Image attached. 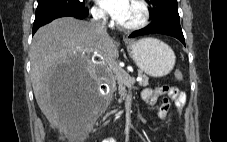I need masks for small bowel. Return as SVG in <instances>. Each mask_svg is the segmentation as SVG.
Instances as JSON below:
<instances>
[{
    "label": "small bowel",
    "instance_id": "small-bowel-1",
    "mask_svg": "<svg viewBox=\"0 0 227 142\" xmlns=\"http://www.w3.org/2000/svg\"><path fill=\"white\" fill-rule=\"evenodd\" d=\"M165 95H168L172 100H174L179 110L184 107L186 102V95L176 87L160 86L155 89L145 88L141 93L142 99L151 106L156 104L160 96ZM169 108L170 103L167 98H164L161 106L158 109V117L164 122H166L168 119ZM102 142H116V140L113 138H106L102 140Z\"/></svg>",
    "mask_w": 227,
    "mask_h": 142
}]
</instances>
